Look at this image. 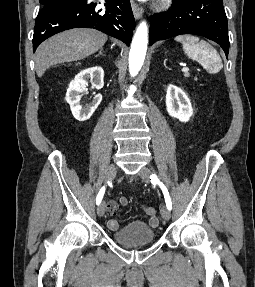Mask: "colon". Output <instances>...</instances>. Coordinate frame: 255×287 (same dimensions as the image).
<instances>
[{"label":"colon","instance_id":"1","mask_svg":"<svg viewBox=\"0 0 255 287\" xmlns=\"http://www.w3.org/2000/svg\"><path fill=\"white\" fill-rule=\"evenodd\" d=\"M144 212L149 215L150 217H156V209L150 206H144L143 207Z\"/></svg>","mask_w":255,"mask_h":287}]
</instances>
